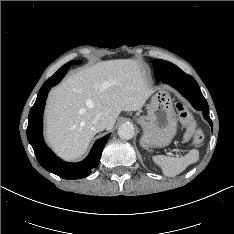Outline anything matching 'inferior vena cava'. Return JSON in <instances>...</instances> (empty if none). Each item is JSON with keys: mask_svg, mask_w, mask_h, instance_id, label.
Returning <instances> with one entry per match:
<instances>
[{"mask_svg": "<svg viewBox=\"0 0 234 234\" xmlns=\"http://www.w3.org/2000/svg\"><path fill=\"white\" fill-rule=\"evenodd\" d=\"M106 128V122L103 118H101L99 115L95 116L92 120V126L91 129L94 132H100Z\"/></svg>", "mask_w": 234, "mask_h": 234, "instance_id": "1", "label": "inferior vena cava"}]
</instances>
